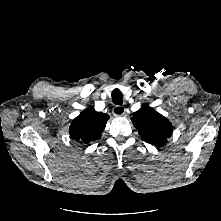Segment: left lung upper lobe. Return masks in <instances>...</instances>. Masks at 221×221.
<instances>
[{
    "label": "left lung upper lobe",
    "mask_w": 221,
    "mask_h": 221,
    "mask_svg": "<svg viewBox=\"0 0 221 221\" xmlns=\"http://www.w3.org/2000/svg\"><path fill=\"white\" fill-rule=\"evenodd\" d=\"M131 120L142 139L152 145L164 144L172 134V125L169 120L148 104H144L141 109L133 113Z\"/></svg>",
    "instance_id": "left-lung-upper-lobe-1"
}]
</instances>
